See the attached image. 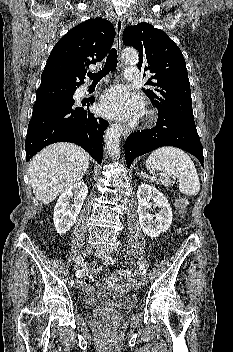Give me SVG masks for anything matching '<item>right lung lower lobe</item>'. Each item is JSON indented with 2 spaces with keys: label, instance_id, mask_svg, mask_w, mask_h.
Instances as JSON below:
<instances>
[{
  "label": "right lung lower lobe",
  "instance_id": "98d812e1",
  "mask_svg": "<svg viewBox=\"0 0 233 352\" xmlns=\"http://www.w3.org/2000/svg\"><path fill=\"white\" fill-rule=\"evenodd\" d=\"M94 101L89 98L81 103L74 99L35 103L25 141L26 161L49 144L71 142L84 148L100 164L108 122L89 111Z\"/></svg>",
  "mask_w": 233,
  "mask_h": 352
}]
</instances>
